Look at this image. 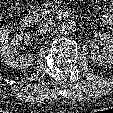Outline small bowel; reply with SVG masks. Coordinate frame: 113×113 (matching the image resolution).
Returning <instances> with one entry per match:
<instances>
[{
  "label": "small bowel",
  "mask_w": 113,
  "mask_h": 113,
  "mask_svg": "<svg viewBox=\"0 0 113 113\" xmlns=\"http://www.w3.org/2000/svg\"><path fill=\"white\" fill-rule=\"evenodd\" d=\"M113 5V0H110ZM102 22L113 31V13H106L101 17Z\"/></svg>",
  "instance_id": "obj_1"
}]
</instances>
